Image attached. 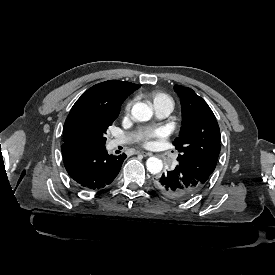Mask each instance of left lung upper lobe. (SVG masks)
Masks as SVG:
<instances>
[{
  "label": "left lung upper lobe",
  "instance_id": "1",
  "mask_svg": "<svg viewBox=\"0 0 275 275\" xmlns=\"http://www.w3.org/2000/svg\"><path fill=\"white\" fill-rule=\"evenodd\" d=\"M182 106V127L173 144L179 166L204 184L214 171L221 149L220 129L208 104L191 88L175 85Z\"/></svg>",
  "mask_w": 275,
  "mask_h": 275
}]
</instances>
